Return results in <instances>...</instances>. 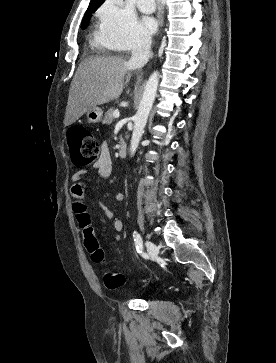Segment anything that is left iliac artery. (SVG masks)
Returning <instances> with one entry per match:
<instances>
[{"label":"left iliac artery","mask_w":276,"mask_h":363,"mask_svg":"<svg viewBox=\"0 0 276 363\" xmlns=\"http://www.w3.org/2000/svg\"><path fill=\"white\" fill-rule=\"evenodd\" d=\"M133 237H134V242H135L137 252L142 253L143 247H142V239H141L140 234L138 232L134 231Z\"/></svg>","instance_id":"1"}]
</instances>
